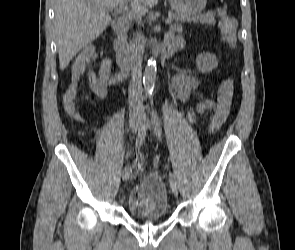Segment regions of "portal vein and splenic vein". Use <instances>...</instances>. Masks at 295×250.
<instances>
[{"instance_id":"portal-vein-and-splenic-vein-1","label":"portal vein and splenic vein","mask_w":295,"mask_h":250,"mask_svg":"<svg viewBox=\"0 0 295 250\" xmlns=\"http://www.w3.org/2000/svg\"><path fill=\"white\" fill-rule=\"evenodd\" d=\"M115 9V11L119 14H127L131 18H136L137 20H141V15L135 8L129 9L126 5V3L119 5L118 7H112ZM172 22V17H168L165 19V24H170Z\"/></svg>"}]
</instances>
